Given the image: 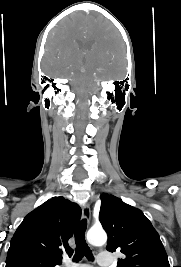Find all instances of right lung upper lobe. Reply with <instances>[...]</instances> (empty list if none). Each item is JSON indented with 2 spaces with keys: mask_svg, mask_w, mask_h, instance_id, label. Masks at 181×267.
<instances>
[{
  "mask_svg": "<svg viewBox=\"0 0 181 267\" xmlns=\"http://www.w3.org/2000/svg\"><path fill=\"white\" fill-rule=\"evenodd\" d=\"M81 208L64 197H53L30 212L16 230L6 267H54L62 253L72 252L68 240Z\"/></svg>",
  "mask_w": 181,
  "mask_h": 267,
  "instance_id": "obj_1",
  "label": "right lung upper lobe"
}]
</instances>
